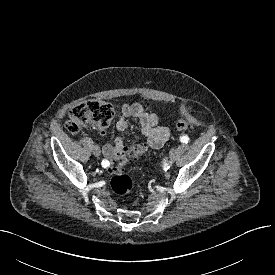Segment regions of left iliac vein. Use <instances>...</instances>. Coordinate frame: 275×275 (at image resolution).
I'll return each instance as SVG.
<instances>
[{
	"label": "left iliac vein",
	"instance_id": "left-iliac-vein-1",
	"mask_svg": "<svg viewBox=\"0 0 275 275\" xmlns=\"http://www.w3.org/2000/svg\"><path fill=\"white\" fill-rule=\"evenodd\" d=\"M170 160L171 161H174L175 160V158H176V154H177V149L176 148H172L171 150H170Z\"/></svg>",
	"mask_w": 275,
	"mask_h": 275
}]
</instances>
